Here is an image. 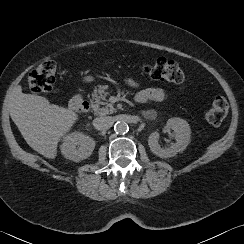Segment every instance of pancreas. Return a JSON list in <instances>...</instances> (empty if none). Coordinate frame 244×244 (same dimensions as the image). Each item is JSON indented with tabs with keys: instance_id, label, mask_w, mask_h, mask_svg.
I'll return each mask as SVG.
<instances>
[{
	"instance_id": "obj_1",
	"label": "pancreas",
	"mask_w": 244,
	"mask_h": 244,
	"mask_svg": "<svg viewBox=\"0 0 244 244\" xmlns=\"http://www.w3.org/2000/svg\"><path fill=\"white\" fill-rule=\"evenodd\" d=\"M107 86H99L98 89H95V104H96V108H95V114L98 116H105L108 114H112L114 112H116V109L111 105L108 104L106 102V97L109 95V92L106 91ZM100 104H104L106 105L105 107H100ZM145 116L147 117L148 114H145Z\"/></svg>"
}]
</instances>
